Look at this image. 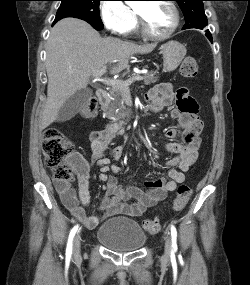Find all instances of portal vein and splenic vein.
<instances>
[{"label":"portal vein and splenic vein","mask_w":250,"mask_h":285,"mask_svg":"<svg viewBox=\"0 0 250 285\" xmlns=\"http://www.w3.org/2000/svg\"><path fill=\"white\" fill-rule=\"evenodd\" d=\"M105 72H106V67H103L100 70L94 72L93 77L96 80L101 81V82H103L109 86L121 87L125 91L129 90L130 83L143 80V76H141V75L134 76L127 81H122V80H118V79L103 78L102 76Z\"/></svg>","instance_id":"obj_1"}]
</instances>
